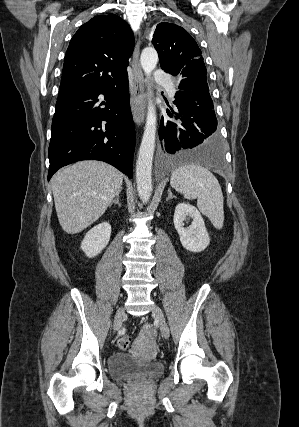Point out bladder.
<instances>
[{"mask_svg": "<svg viewBox=\"0 0 299 427\" xmlns=\"http://www.w3.org/2000/svg\"><path fill=\"white\" fill-rule=\"evenodd\" d=\"M109 375L114 379H131L135 377L154 378L165 369L161 361L144 362L128 353H116L109 358Z\"/></svg>", "mask_w": 299, "mask_h": 427, "instance_id": "31cf9c89", "label": "bladder"}]
</instances>
